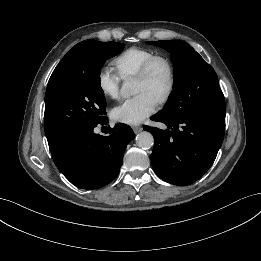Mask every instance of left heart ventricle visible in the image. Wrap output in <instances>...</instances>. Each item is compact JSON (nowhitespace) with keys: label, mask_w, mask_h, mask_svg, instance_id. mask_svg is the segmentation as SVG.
Returning a JSON list of instances; mask_svg holds the SVG:
<instances>
[{"label":"left heart ventricle","mask_w":261,"mask_h":261,"mask_svg":"<svg viewBox=\"0 0 261 261\" xmlns=\"http://www.w3.org/2000/svg\"><path fill=\"white\" fill-rule=\"evenodd\" d=\"M168 85V70L166 66L159 63L148 80L136 79L134 93H147L155 100L165 91Z\"/></svg>","instance_id":"1"}]
</instances>
